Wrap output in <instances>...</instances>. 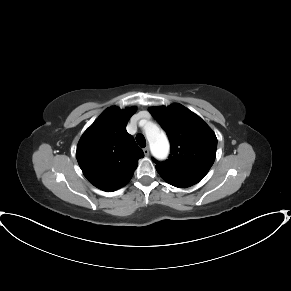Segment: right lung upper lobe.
<instances>
[{
	"label": "right lung upper lobe",
	"mask_w": 291,
	"mask_h": 291,
	"mask_svg": "<svg viewBox=\"0 0 291 291\" xmlns=\"http://www.w3.org/2000/svg\"><path fill=\"white\" fill-rule=\"evenodd\" d=\"M136 107L107 108L84 132L77 145L76 158L85 177L103 191H115L131 179L137 162L144 157L126 131Z\"/></svg>",
	"instance_id": "cb5924a9"
}]
</instances>
